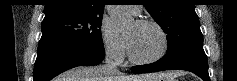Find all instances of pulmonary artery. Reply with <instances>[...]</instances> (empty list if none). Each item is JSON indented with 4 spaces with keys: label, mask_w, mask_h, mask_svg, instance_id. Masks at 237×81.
Returning <instances> with one entry per match:
<instances>
[{
    "label": "pulmonary artery",
    "mask_w": 237,
    "mask_h": 81,
    "mask_svg": "<svg viewBox=\"0 0 237 81\" xmlns=\"http://www.w3.org/2000/svg\"><path fill=\"white\" fill-rule=\"evenodd\" d=\"M130 10L134 13V14H139L140 13V9L137 6H131Z\"/></svg>",
    "instance_id": "e3ab8cb5"
}]
</instances>
